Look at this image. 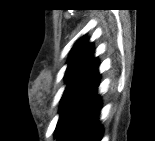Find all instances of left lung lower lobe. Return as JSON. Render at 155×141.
Returning <instances> with one entry per match:
<instances>
[{
    "instance_id": "left-lung-lower-lobe-1",
    "label": "left lung lower lobe",
    "mask_w": 155,
    "mask_h": 141,
    "mask_svg": "<svg viewBox=\"0 0 155 141\" xmlns=\"http://www.w3.org/2000/svg\"><path fill=\"white\" fill-rule=\"evenodd\" d=\"M101 75L97 71L84 92L70 106L58 137L59 141H100L103 127L99 122Z\"/></svg>"
}]
</instances>
